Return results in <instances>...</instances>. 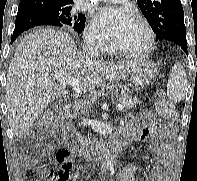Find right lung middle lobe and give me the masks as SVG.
Returning <instances> with one entry per match:
<instances>
[{"label":"right lung middle lobe","mask_w":197,"mask_h":181,"mask_svg":"<svg viewBox=\"0 0 197 181\" xmlns=\"http://www.w3.org/2000/svg\"><path fill=\"white\" fill-rule=\"evenodd\" d=\"M35 7L56 17L62 26H68L75 32L81 33L85 25V15L74 14L71 6H60L54 4H38Z\"/></svg>","instance_id":"1"}]
</instances>
